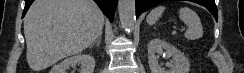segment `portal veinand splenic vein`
<instances>
[{
  "instance_id": "portal-vein-and-splenic-vein-1",
  "label": "portal vein and splenic vein",
  "mask_w": 244,
  "mask_h": 73,
  "mask_svg": "<svg viewBox=\"0 0 244 73\" xmlns=\"http://www.w3.org/2000/svg\"><path fill=\"white\" fill-rule=\"evenodd\" d=\"M176 33H177V31H176V30H174V31H173V34H176Z\"/></svg>"
}]
</instances>
